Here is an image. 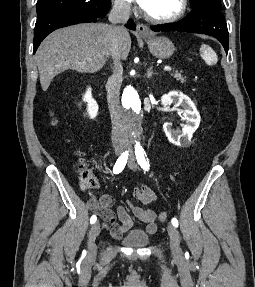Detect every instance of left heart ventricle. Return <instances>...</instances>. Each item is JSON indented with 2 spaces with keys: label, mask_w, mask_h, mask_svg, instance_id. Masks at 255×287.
<instances>
[{
  "label": "left heart ventricle",
  "mask_w": 255,
  "mask_h": 287,
  "mask_svg": "<svg viewBox=\"0 0 255 287\" xmlns=\"http://www.w3.org/2000/svg\"><path fill=\"white\" fill-rule=\"evenodd\" d=\"M149 33H168V32H149ZM154 39H166V38H154ZM153 48H168V47H153Z\"/></svg>",
  "instance_id": "1"
}]
</instances>
